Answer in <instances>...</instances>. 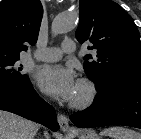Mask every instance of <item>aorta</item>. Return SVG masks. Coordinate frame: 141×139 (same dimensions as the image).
<instances>
[{"label": "aorta", "instance_id": "762f6f07", "mask_svg": "<svg viewBox=\"0 0 141 139\" xmlns=\"http://www.w3.org/2000/svg\"><path fill=\"white\" fill-rule=\"evenodd\" d=\"M77 23V16L73 13L58 15L52 23V33L64 34L73 30Z\"/></svg>", "mask_w": 141, "mask_h": 139}]
</instances>
